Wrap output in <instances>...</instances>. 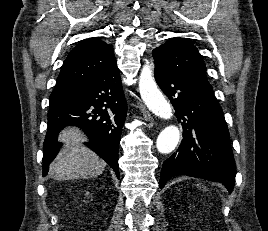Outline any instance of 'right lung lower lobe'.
Masks as SVG:
<instances>
[{
    "mask_svg": "<svg viewBox=\"0 0 268 231\" xmlns=\"http://www.w3.org/2000/svg\"><path fill=\"white\" fill-rule=\"evenodd\" d=\"M76 96L48 112V129L43 149V175L61 146L57 135L67 125L80 127L89 137L85 143L119 175L118 149L126 119L127 103L123 93L119 69H109L84 82Z\"/></svg>",
    "mask_w": 268,
    "mask_h": 231,
    "instance_id": "98d812e1",
    "label": "right lung lower lobe"
}]
</instances>
